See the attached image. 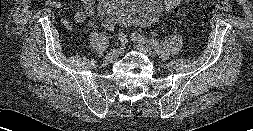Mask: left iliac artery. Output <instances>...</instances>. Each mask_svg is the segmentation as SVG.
Instances as JSON below:
<instances>
[{
	"instance_id": "left-iliac-artery-1",
	"label": "left iliac artery",
	"mask_w": 253,
	"mask_h": 131,
	"mask_svg": "<svg viewBox=\"0 0 253 131\" xmlns=\"http://www.w3.org/2000/svg\"><path fill=\"white\" fill-rule=\"evenodd\" d=\"M132 36L139 39L140 41L150 44L159 54H161V55L164 54L162 46L160 45V43L157 40L145 37L139 33H132Z\"/></svg>"
}]
</instances>
